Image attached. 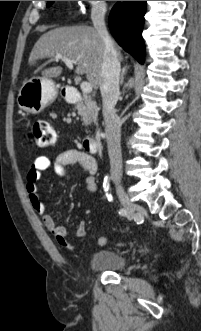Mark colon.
Masks as SVG:
<instances>
[{"instance_id": "colon-1", "label": "colon", "mask_w": 201, "mask_h": 331, "mask_svg": "<svg viewBox=\"0 0 201 331\" xmlns=\"http://www.w3.org/2000/svg\"><path fill=\"white\" fill-rule=\"evenodd\" d=\"M31 133L38 146L52 145L56 140V134L51 124L45 119L35 120L31 127Z\"/></svg>"}]
</instances>
